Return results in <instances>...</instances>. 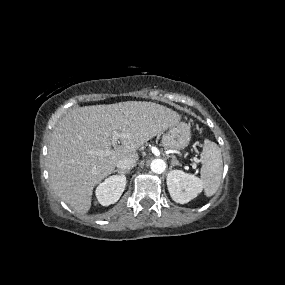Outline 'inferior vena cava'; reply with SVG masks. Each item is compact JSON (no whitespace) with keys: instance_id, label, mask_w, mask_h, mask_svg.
<instances>
[{"instance_id":"inferior-vena-cava-1","label":"inferior vena cava","mask_w":285,"mask_h":285,"mask_svg":"<svg viewBox=\"0 0 285 285\" xmlns=\"http://www.w3.org/2000/svg\"><path fill=\"white\" fill-rule=\"evenodd\" d=\"M135 165H136V161L134 159L127 158V159L118 161L116 166L119 170L126 171V170H130Z\"/></svg>"}]
</instances>
